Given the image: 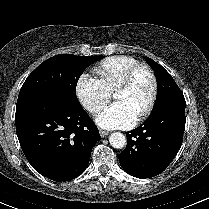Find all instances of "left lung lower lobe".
Listing matches in <instances>:
<instances>
[{
	"label": "left lung lower lobe",
	"instance_id": "obj_1",
	"mask_svg": "<svg viewBox=\"0 0 209 209\" xmlns=\"http://www.w3.org/2000/svg\"><path fill=\"white\" fill-rule=\"evenodd\" d=\"M185 106V101L163 104L143 125L126 133L127 147L119 154V161L128 174L151 178L169 165L182 144Z\"/></svg>",
	"mask_w": 209,
	"mask_h": 209
}]
</instances>
